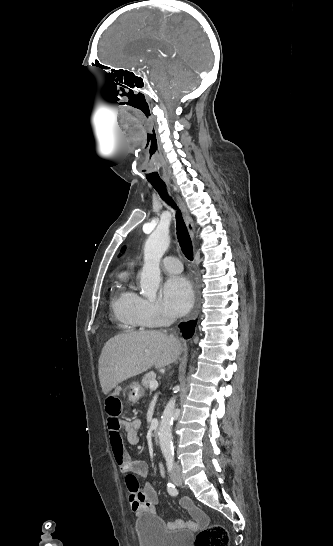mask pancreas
Here are the masks:
<instances>
[{"label": "pancreas", "mask_w": 333, "mask_h": 546, "mask_svg": "<svg viewBox=\"0 0 333 546\" xmlns=\"http://www.w3.org/2000/svg\"><path fill=\"white\" fill-rule=\"evenodd\" d=\"M155 379H156V374H155L153 371H151V372L146 373V374L142 377L141 383H142V385L147 389V388L150 387V386H149V385H150V382H151L152 380H155Z\"/></svg>", "instance_id": "obj_1"}]
</instances>
